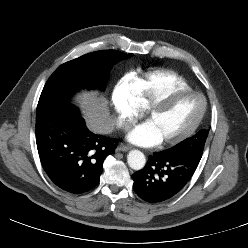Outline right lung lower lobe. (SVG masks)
Instances as JSON below:
<instances>
[{"instance_id":"obj_1","label":"right lung lower lobe","mask_w":248,"mask_h":248,"mask_svg":"<svg viewBox=\"0 0 248 248\" xmlns=\"http://www.w3.org/2000/svg\"><path fill=\"white\" fill-rule=\"evenodd\" d=\"M118 139L90 132L69 102L38 103L36 143L41 164L62 190L80 194L100 180L103 162L114 154Z\"/></svg>"}]
</instances>
